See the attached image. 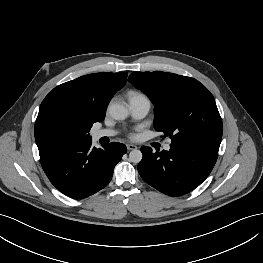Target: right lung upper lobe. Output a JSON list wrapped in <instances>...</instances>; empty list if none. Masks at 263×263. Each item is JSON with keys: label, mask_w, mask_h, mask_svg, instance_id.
<instances>
[{"label": "right lung upper lobe", "mask_w": 263, "mask_h": 263, "mask_svg": "<svg viewBox=\"0 0 263 263\" xmlns=\"http://www.w3.org/2000/svg\"><path fill=\"white\" fill-rule=\"evenodd\" d=\"M126 78V72L89 74L55 87L41 103L35 122L41 163L58 153L50 145L55 126L101 122L110 99L125 85Z\"/></svg>", "instance_id": "right-lung-upper-lobe-1"}]
</instances>
